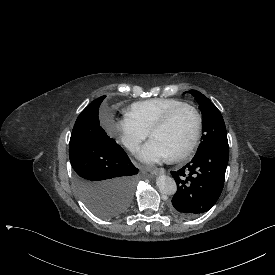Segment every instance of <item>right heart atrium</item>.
I'll return each mask as SVG.
<instances>
[{"instance_id":"obj_1","label":"right heart atrium","mask_w":275,"mask_h":275,"mask_svg":"<svg viewBox=\"0 0 275 275\" xmlns=\"http://www.w3.org/2000/svg\"><path fill=\"white\" fill-rule=\"evenodd\" d=\"M114 134L130 153L135 154L140 149L149 132L133 119L126 116L114 123Z\"/></svg>"}]
</instances>
